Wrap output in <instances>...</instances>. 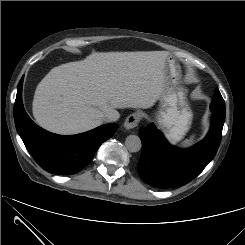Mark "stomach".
<instances>
[{"instance_id": "stomach-1", "label": "stomach", "mask_w": 245, "mask_h": 245, "mask_svg": "<svg viewBox=\"0 0 245 245\" xmlns=\"http://www.w3.org/2000/svg\"><path fill=\"white\" fill-rule=\"evenodd\" d=\"M165 90L161 97L162 110L158 114V123L172 142L181 140L189 130L192 112L186 101L185 90L178 87L180 67L171 58L166 61Z\"/></svg>"}]
</instances>
